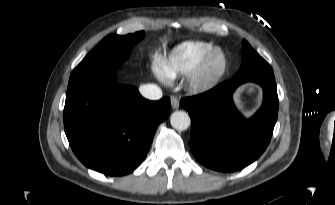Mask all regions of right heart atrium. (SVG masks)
Wrapping results in <instances>:
<instances>
[{"instance_id":"1","label":"right heart atrium","mask_w":335,"mask_h":205,"mask_svg":"<svg viewBox=\"0 0 335 205\" xmlns=\"http://www.w3.org/2000/svg\"><path fill=\"white\" fill-rule=\"evenodd\" d=\"M154 72L162 82H169V76L164 71L163 65L160 62H156V64L154 65Z\"/></svg>"}]
</instances>
